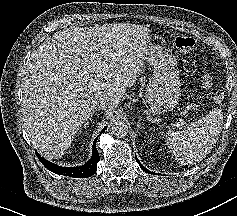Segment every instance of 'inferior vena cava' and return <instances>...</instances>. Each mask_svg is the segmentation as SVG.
I'll use <instances>...</instances> for the list:
<instances>
[{"label": "inferior vena cava", "instance_id": "602c4592", "mask_svg": "<svg viewBox=\"0 0 237 216\" xmlns=\"http://www.w3.org/2000/svg\"><path fill=\"white\" fill-rule=\"evenodd\" d=\"M92 107H93V110H96V109L103 110V111L111 110L112 112H114L115 109L117 108V105L114 103H111L107 99H101V100H96L93 103Z\"/></svg>", "mask_w": 237, "mask_h": 216}]
</instances>
